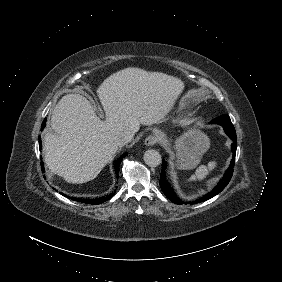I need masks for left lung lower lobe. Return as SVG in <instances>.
<instances>
[{
    "instance_id": "0a47b994",
    "label": "left lung lower lobe",
    "mask_w": 282,
    "mask_h": 282,
    "mask_svg": "<svg viewBox=\"0 0 282 282\" xmlns=\"http://www.w3.org/2000/svg\"><path fill=\"white\" fill-rule=\"evenodd\" d=\"M210 123L221 125L224 128L225 133L233 141V143H232L233 158H232V161H231L229 168L227 169L225 175L219 181L217 186L211 192H209L208 194H206L202 198L197 199V200L192 201V202H188L190 204H196V203L206 201V200L214 197L218 193H220L227 186V184L231 180V177H232V174H233L235 154H236V148H237V142H236L237 137H236V132H235L234 126L231 123L230 117L228 115H222V116H219V117L213 119ZM166 165H167L166 161L163 160L161 177H160V187H161L162 191L164 192V194L166 195V197L170 201H172L176 204H187V202H184V201L180 200L179 197H177L174 190L171 188V186L167 182L166 175H165Z\"/></svg>"
}]
</instances>
